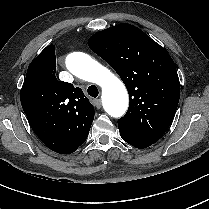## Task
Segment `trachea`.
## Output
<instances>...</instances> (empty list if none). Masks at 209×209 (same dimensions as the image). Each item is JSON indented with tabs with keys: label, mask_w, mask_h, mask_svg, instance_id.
Masks as SVG:
<instances>
[{
	"label": "trachea",
	"mask_w": 209,
	"mask_h": 209,
	"mask_svg": "<svg viewBox=\"0 0 209 209\" xmlns=\"http://www.w3.org/2000/svg\"><path fill=\"white\" fill-rule=\"evenodd\" d=\"M87 93H88V95H90L91 97L96 98V97L98 96V94H99L98 88H97L96 86H94V85H90V86L88 87V89H87Z\"/></svg>",
	"instance_id": "1"
}]
</instances>
